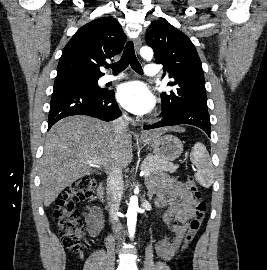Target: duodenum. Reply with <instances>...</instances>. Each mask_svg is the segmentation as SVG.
Returning a JSON list of instances; mask_svg holds the SVG:
<instances>
[{"mask_svg": "<svg viewBox=\"0 0 267 270\" xmlns=\"http://www.w3.org/2000/svg\"><path fill=\"white\" fill-rule=\"evenodd\" d=\"M98 197L101 201H105V191H104V185L101 183L98 186L97 189ZM116 215V211H112L111 216L114 217Z\"/></svg>", "mask_w": 267, "mask_h": 270, "instance_id": "duodenum-1", "label": "duodenum"}]
</instances>
